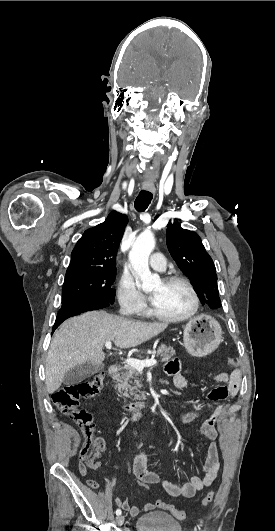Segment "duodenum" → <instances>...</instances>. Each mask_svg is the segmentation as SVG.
Instances as JSON below:
<instances>
[{"mask_svg":"<svg viewBox=\"0 0 275 531\" xmlns=\"http://www.w3.org/2000/svg\"><path fill=\"white\" fill-rule=\"evenodd\" d=\"M119 370V364H114L108 367L107 372L110 376H114ZM151 403L147 400L137 402L124 406V411L131 417L142 416L150 408Z\"/></svg>","mask_w":275,"mask_h":531,"instance_id":"410a0bca","label":"duodenum"}]
</instances>
